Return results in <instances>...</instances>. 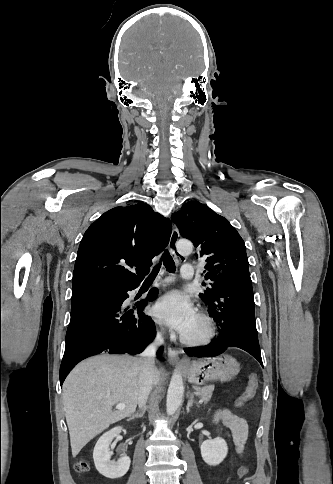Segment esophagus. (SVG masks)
I'll return each instance as SVG.
<instances>
[{"instance_id": "esophagus-1", "label": "esophagus", "mask_w": 333, "mask_h": 484, "mask_svg": "<svg viewBox=\"0 0 333 484\" xmlns=\"http://www.w3.org/2000/svg\"><path fill=\"white\" fill-rule=\"evenodd\" d=\"M178 238H179V231L176 226H173L172 233L169 239V250L175 258H178L176 254V249H175ZM168 361L173 365H176L181 362L178 352L171 347H168Z\"/></svg>"}]
</instances>
